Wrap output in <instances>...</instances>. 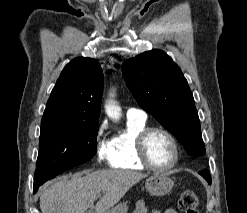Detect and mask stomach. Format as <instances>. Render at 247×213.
<instances>
[{"label": "stomach", "mask_w": 247, "mask_h": 213, "mask_svg": "<svg viewBox=\"0 0 247 213\" xmlns=\"http://www.w3.org/2000/svg\"><path fill=\"white\" fill-rule=\"evenodd\" d=\"M174 187V181L166 174H154L145 182L146 190L153 196H164ZM128 206L125 202L106 210L104 213H127Z\"/></svg>", "instance_id": "obj_1"}]
</instances>
